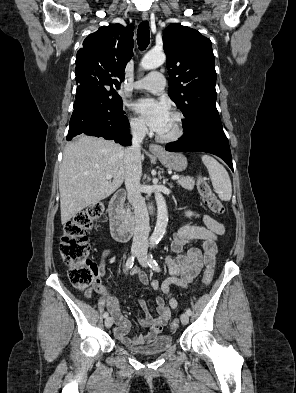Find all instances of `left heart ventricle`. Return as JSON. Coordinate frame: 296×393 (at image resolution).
Listing matches in <instances>:
<instances>
[{
    "label": "left heart ventricle",
    "mask_w": 296,
    "mask_h": 393,
    "mask_svg": "<svg viewBox=\"0 0 296 393\" xmlns=\"http://www.w3.org/2000/svg\"><path fill=\"white\" fill-rule=\"evenodd\" d=\"M175 125H176L175 119L172 115H170L167 123L162 128V130L160 132H158V134L163 135V136L171 134L175 128Z\"/></svg>",
    "instance_id": "left-heart-ventricle-1"
}]
</instances>
